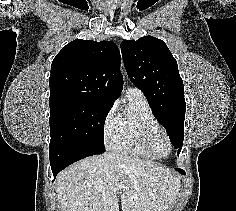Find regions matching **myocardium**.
Returning <instances> with one entry per match:
<instances>
[{
    "label": "myocardium",
    "mask_w": 236,
    "mask_h": 211,
    "mask_svg": "<svg viewBox=\"0 0 236 211\" xmlns=\"http://www.w3.org/2000/svg\"><path fill=\"white\" fill-rule=\"evenodd\" d=\"M158 133H161L165 137V139L167 140L168 145H169V151L165 155L157 153L153 147V144H152L153 137ZM139 144L143 147V149L146 152H148L149 154L154 156L156 159L168 158L173 151L172 140H171L168 132L160 125L150 126V127L146 128L143 131L142 135L139 137Z\"/></svg>",
    "instance_id": "obj_1"
}]
</instances>
